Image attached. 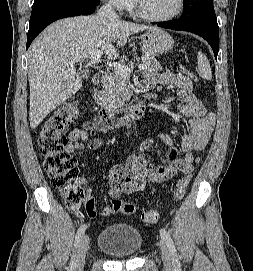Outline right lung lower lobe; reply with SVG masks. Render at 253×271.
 I'll return each instance as SVG.
<instances>
[{"instance_id":"obj_1","label":"right lung lower lobe","mask_w":253,"mask_h":271,"mask_svg":"<svg viewBox=\"0 0 253 271\" xmlns=\"http://www.w3.org/2000/svg\"><path fill=\"white\" fill-rule=\"evenodd\" d=\"M97 6L88 3H77L72 5L59 6L49 9L36 17L30 19L27 35V48L34 38L50 23L65 17L92 14Z\"/></svg>"}]
</instances>
